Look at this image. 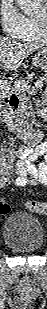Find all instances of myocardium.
Segmentation results:
<instances>
[{"label":"myocardium","instance_id":"obj_1","mask_svg":"<svg viewBox=\"0 0 47 309\" xmlns=\"http://www.w3.org/2000/svg\"><path fill=\"white\" fill-rule=\"evenodd\" d=\"M37 21L42 29L43 35L46 37L47 33V14L44 13L42 16L37 17Z\"/></svg>","mask_w":47,"mask_h":309}]
</instances>
